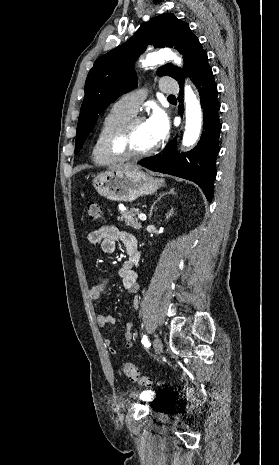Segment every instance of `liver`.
Instances as JSON below:
<instances>
[{"instance_id":"obj_1","label":"liver","mask_w":279,"mask_h":465,"mask_svg":"<svg viewBox=\"0 0 279 465\" xmlns=\"http://www.w3.org/2000/svg\"><path fill=\"white\" fill-rule=\"evenodd\" d=\"M138 167L136 165L132 164H125V165H120L116 168V170H131V169H137Z\"/></svg>"}]
</instances>
